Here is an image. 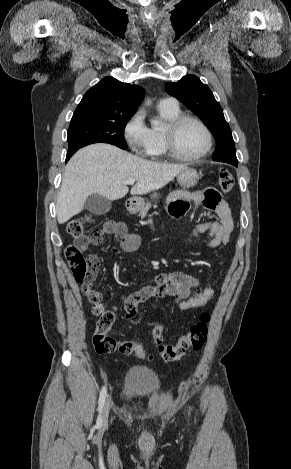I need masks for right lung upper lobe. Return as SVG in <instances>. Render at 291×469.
I'll list each match as a JSON object with an SVG mask.
<instances>
[{
  "instance_id": "1",
  "label": "right lung upper lobe",
  "mask_w": 291,
  "mask_h": 469,
  "mask_svg": "<svg viewBox=\"0 0 291 469\" xmlns=\"http://www.w3.org/2000/svg\"><path fill=\"white\" fill-rule=\"evenodd\" d=\"M143 98L140 86L105 77L85 93L74 114L133 116Z\"/></svg>"
}]
</instances>
